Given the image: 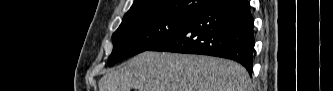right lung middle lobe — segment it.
Here are the masks:
<instances>
[{
	"label": "right lung middle lobe",
	"mask_w": 333,
	"mask_h": 91,
	"mask_svg": "<svg viewBox=\"0 0 333 91\" xmlns=\"http://www.w3.org/2000/svg\"><path fill=\"white\" fill-rule=\"evenodd\" d=\"M216 0H204L207 8ZM194 16L152 15L130 19L121 23L112 35L113 51L108 65L151 49L185 26Z\"/></svg>",
	"instance_id": "obj_1"
}]
</instances>
